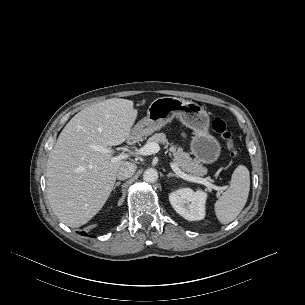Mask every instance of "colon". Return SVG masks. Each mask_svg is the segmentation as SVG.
<instances>
[{
    "mask_svg": "<svg viewBox=\"0 0 305 305\" xmlns=\"http://www.w3.org/2000/svg\"><path fill=\"white\" fill-rule=\"evenodd\" d=\"M212 128L225 141L231 156H236L237 151L235 148L233 136L226 122L223 119L217 118L212 122Z\"/></svg>",
    "mask_w": 305,
    "mask_h": 305,
    "instance_id": "1",
    "label": "colon"
}]
</instances>
